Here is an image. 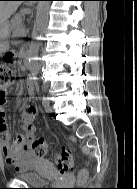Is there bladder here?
<instances>
[{"label": "bladder", "instance_id": "obj_1", "mask_svg": "<svg viewBox=\"0 0 137 189\" xmlns=\"http://www.w3.org/2000/svg\"><path fill=\"white\" fill-rule=\"evenodd\" d=\"M18 178L30 185L45 184L48 179L52 178L55 173L54 164L46 158L37 160L34 165L26 166L18 172Z\"/></svg>", "mask_w": 137, "mask_h": 189}]
</instances>
